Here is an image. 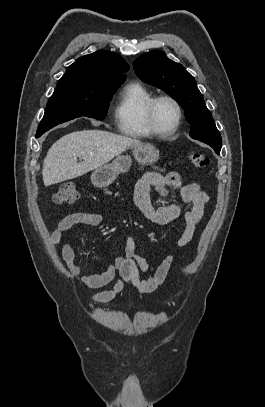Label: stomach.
Here are the masks:
<instances>
[{
  "mask_svg": "<svg viewBox=\"0 0 265 407\" xmlns=\"http://www.w3.org/2000/svg\"><path fill=\"white\" fill-rule=\"evenodd\" d=\"M133 156L142 165L153 164L159 159V151L149 143L133 146ZM132 160L128 155H118L112 163L103 165L93 171L91 182L94 186L102 188L109 186L120 173H126Z\"/></svg>",
  "mask_w": 265,
  "mask_h": 407,
  "instance_id": "stomach-1",
  "label": "stomach"
}]
</instances>
